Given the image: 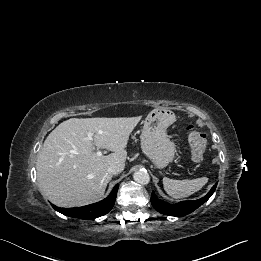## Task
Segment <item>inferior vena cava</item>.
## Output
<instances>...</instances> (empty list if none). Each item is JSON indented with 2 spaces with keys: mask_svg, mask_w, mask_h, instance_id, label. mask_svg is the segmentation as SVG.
I'll return each instance as SVG.
<instances>
[{
  "mask_svg": "<svg viewBox=\"0 0 261 261\" xmlns=\"http://www.w3.org/2000/svg\"><path fill=\"white\" fill-rule=\"evenodd\" d=\"M123 171V167L118 164L110 165L107 169L108 174L110 175H116Z\"/></svg>",
  "mask_w": 261,
  "mask_h": 261,
  "instance_id": "1",
  "label": "inferior vena cava"
}]
</instances>
